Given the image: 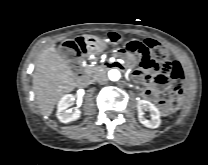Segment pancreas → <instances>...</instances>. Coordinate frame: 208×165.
<instances>
[{"label": "pancreas", "instance_id": "cf45deb5", "mask_svg": "<svg viewBox=\"0 0 208 165\" xmlns=\"http://www.w3.org/2000/svg\"><path fill=\"white\" fill-rule=\"evenodd\" d=\"M101 70L98 66H87L85 72L93 77Z\"/></svg>", "mask_w": 208, "mask_h": 165}]
</instances>
